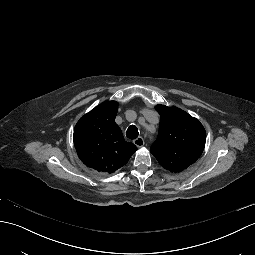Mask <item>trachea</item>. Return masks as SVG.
I'll use <instances>...</instances> for the list:
<instances>
[{
	"label": "trachea",
	"instance_id": "1",
	"mask_svg": "<svg viewBox=\"0 0 255 255\" xmlns=\"http://www.w3.org/2000/svg\"><path fill=\"white\" fill-rule=\"evenodd\" d=\"M139 135L138 129L135 125H130L126 131V136L129 139H136Z\"/></svg>",
	"mask_w": 255,
	"mask_h": 255
}]
</instances>
